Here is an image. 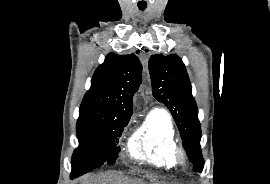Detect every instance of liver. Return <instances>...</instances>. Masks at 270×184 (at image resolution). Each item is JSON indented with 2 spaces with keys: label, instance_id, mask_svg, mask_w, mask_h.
<instances>
[{
  "label": "liver",
  "instance_id": "obj_1",
  "mask_svg": "<svg viewBox=\"0 0 270 184\" xmlns=\"http://www.w3.org/2000/svg\"><path fill=\"white\" fill-rule=\"evenodd\" d=\"M81 184H145L142 181L118 176L114 173H102L99 175H88L82 179Z\"/></svg>",
  "mask_w": 270,
  "mask_h": 184
}]
</instances>
